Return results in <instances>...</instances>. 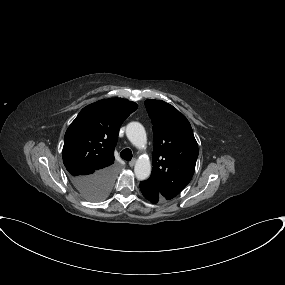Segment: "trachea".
I'll return each instance as SVG.
<instances>
[{"label":"trachea","mask_w":285,"mask_h":285,"mask_svg":"<svg viewBox=\"0 0 285 285\" xmlns=\"http://www.w3.org/2000/svg\"><path fill=\"white\" fill-rule=\"evenodd\" d=\"M120 156L124 160L130 161L132 159V151L129 148H126L123 151H121Z\"/></svg>","instance_id":"1"}]
</instances>
